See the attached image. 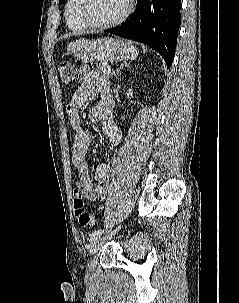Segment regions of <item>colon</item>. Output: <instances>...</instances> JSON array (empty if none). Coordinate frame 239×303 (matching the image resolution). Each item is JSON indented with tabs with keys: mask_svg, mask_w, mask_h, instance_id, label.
I'll use <instances>...</instances> for the list:
<instances>
[{
	"mask_svg": "<svg viewBox=\"0 0 239 303\" xmlns=\"http://www.w3.org/2000/svg\"><path fill=\"white\" fill-rule=\"evenodd\" d=\"M61 81L65 85L73 84L78 78L77 69L70 62L64 61L59 66ZM73 208L80 226L91 228L95 225L94 216L85 209L83 194L78 190L73 193Z\"/></svg>",
	"mask_w": 239,
	"mask_h": 303,
	"instance_id": "colon-1",
	"label": "colon"
}]
</instances>
